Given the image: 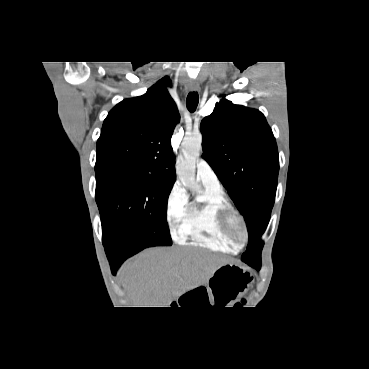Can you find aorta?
I'll list each match as a JSON object with an SVG mask.
<instances>
[{"label":"aorta","mask_w":369,"mask_h":369,"mask_svg":"<svg viewBox=\"0 0 369 369\" xmlns=\"http://www.w3.org/2000/svg\"><path fill=\"white\" fill-rule=\"evenodd\" d=\"M201 148V133L185 136L182 142V153L176 164V172L180 181L193 192L200 190V186L195 179V163Z\"/></svg>","instance_id":"762f6f07"}]
</instances>
